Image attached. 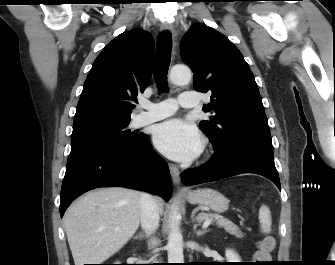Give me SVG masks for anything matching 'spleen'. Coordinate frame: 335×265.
Wrapping results in <instances>:
<instances>
[{"mask_svg":"<svg viewBox=\"0 0 335 265\" xmlns=\"http://www.w3.org/2000/svg\"><path fill=\"white\" fill-rule=\"evenodd\" d=\"M259 221L264 231H269L271 227V213L267 206L262 205L259 209Z\"/></svg>","mask_w":335,"mask_h":265,"instance_id":"1","label":"spleen"}]
</instances>
